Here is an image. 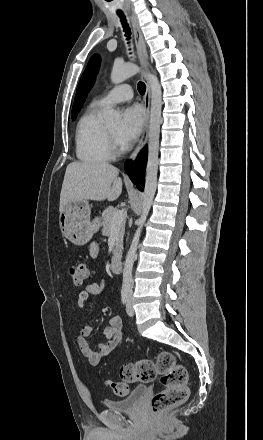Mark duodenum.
<instances>
[{
  "mask_svg": "<svg viewBox=\"0 0 263 440\" xmlns=\"http://www.w3.org/2000/svg\"><path fill=\"white\" fill-rule=\"evenodd\" d=\"M111 270L114 273H120L122 270V262L119 258H114L111 262Z\"/></svg>",
  "mask_w": 263,
  "mask_h": 440,
  "instance_id": "410a0bca",
  "label": "duodenum"
}]
</instances>
